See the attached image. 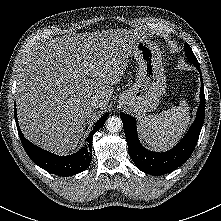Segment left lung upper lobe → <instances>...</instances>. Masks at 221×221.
I'll return each instance as SVG.
<instances>
[{"mask_svg": "<svg viewBox=\"0 0 221 221\" xmlns=\"http://www.w3.org/2000/svg\"><path fill=\"white\" fill-rule=\"evenodd\" d=\"M184 50L189 62H191L196 67L199 66V63L195 55L193 54V51L191 50L190 46L187 43L184 44Z\"/></svg>", "mask_w": 221, "mask_h": 221, "instance_id": "left-lung-upper-lobe-1", "label": "left lung upper lobe"}]
</instances>
